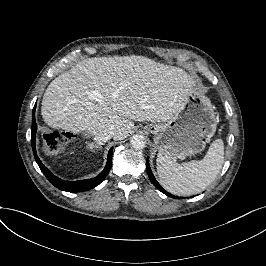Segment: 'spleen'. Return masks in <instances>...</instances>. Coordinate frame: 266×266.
<instances>
[{
  "instance_id": "obj_1",
  "label": "spleen",
  "mask_w": 266,
  "mask_h": 266,
  "mask_svg": "<svg viewBox=\"0 0 266 266\" xmlns=\"http://www.w3.org/2000/svg\"><path fill=\"white\" fill-rule=\"evenodd\" d=\"M160 184L175 195L190 196L202 192L217 177L224 163V142L213 141L200 161L179 164L158 153L156 159Z\"/></svg>"
}]
</instances>
